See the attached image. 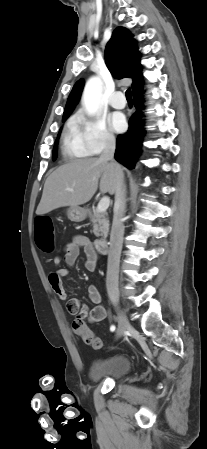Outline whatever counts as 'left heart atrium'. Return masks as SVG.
Listing matches in <instances>:
<instances>
[{"mask_svg": "<svg viewBox=\"0 0 207 449\" xmlns=\"http://www.w3.org/2000/svg\"><path fill=\"white\" fill-rule=\"evenodd\" d=\"M110 125L112 129L116 132H122L126 128V120L125 117L120 113H114L110 117Z\"/></svg>", "mask_w": 207, "mask_h": 449, "instance_id": "left-heart-atrium-1", "label": "left heart atrium"}]
</instances>
